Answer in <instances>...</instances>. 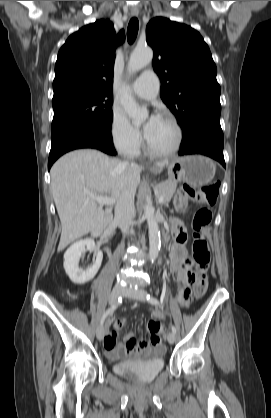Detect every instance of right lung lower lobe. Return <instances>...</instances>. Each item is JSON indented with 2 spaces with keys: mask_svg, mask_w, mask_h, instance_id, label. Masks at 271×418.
<instances>
[{
  "mask_svg": "<svg viewBox=\"0 0 271 418\" xmlns=\"http://www.w3.org/2000/svg\"><path fill=\"white\" fill-rule=\"evenodd\" d=\"M51 141L48 170L61 155L74 149L94 148L110 155H116L112 143L111 128L101 124H87L61 130L51 134Z\"/></svg>",
  "mask_w": 271,
  "mask_h": 418,
  "instance_id": "obj_1",
  "label": "right lung lower lobe"
}]
</instances>
